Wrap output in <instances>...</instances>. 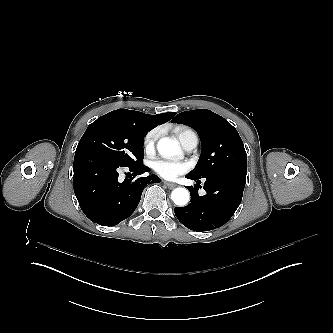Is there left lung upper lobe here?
<instances>
[{
    "instance_id": "5c2ea615",
    "label": "left lung upper lobe",
    "mask_w": 333,
    "mask_h": 333,
    "mask_svg": "<svg viewBox=\"0 0 333 333\" xmlns=\"http://www.w3.org/2000/svg\"><path fill=\"white\" fill-rule=\"evenodd\" d=\"M171 122L191 126L198 133L202 152L196 167L188 174L208 180L225 171L247 173V154L237 130L224 118L207 109L185 111Z\"/></svg>"
}]
</instances>
